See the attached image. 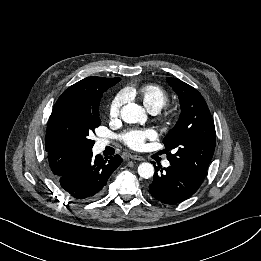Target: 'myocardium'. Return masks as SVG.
<instances>
[{
    "label": "myocardium",
    "mask_w": 261,
    "mask_h": 261,
    "mask_svg": "<svg viewBox=\"0 0 261 261\" xmlns=\"http://www.w3.org/2000/svg\"><path fill=\"white\" fill-rule=\"evenodd\" d=\"M174 110L172 108H166L161 115V120L163 122L170 121L174 117Z\"/></svg>",
    "instance_id": "myocardium-1"
}]
</instances>
